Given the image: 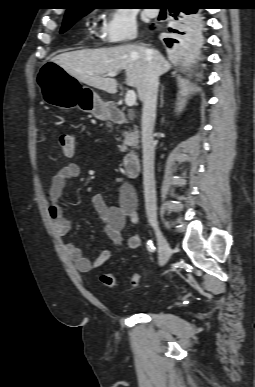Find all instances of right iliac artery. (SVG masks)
<instances>
[{"mask_svg":"<svg viewBox=\"0 0 255 387\" xmlns=\"http://www.w3.org/2000/svg\"><path fill=\"white\" fill-rule=\"evenodd\" d=\"M146 247H147V250H148L149 252H154V251H155V247H154V245H153V243H152L151 240H148V241H147Z\"/></svg>","mask_w":255,"mask_h":387,"instance_id":"right-iliac-artery-1","label":"right iliac artery"}]
</instances>
